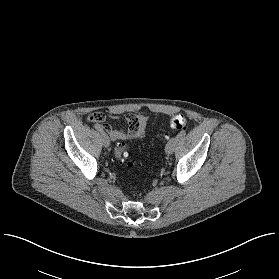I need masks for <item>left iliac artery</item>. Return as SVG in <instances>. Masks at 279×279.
<instances>
[{"instance_id": "44dca946", "label": "left iliac artery", "mask_w": 279, "mask_h": 279, "mask_svg": "<svg viewBox=\"0 0 279 279\" xmlns=\"http://www.w3.org/2000/svg\"><path fill=\"white\" fill-rule=\"evenodd\" d=\"M185 134H186V132L183 130L180 133H178L177 138L180 139V138L184 137Z\"/></svg>"}]
</instances>
